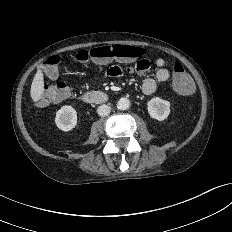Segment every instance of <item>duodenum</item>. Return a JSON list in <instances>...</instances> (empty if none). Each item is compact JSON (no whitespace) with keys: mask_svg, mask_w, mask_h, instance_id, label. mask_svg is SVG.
<instances>
[{"mask_svg":"<svg viewBox=\"0 0 232 232\" xmlns=\"http://www.w3.org/2000/svg\"><path fill=\"white\" fill-rule=\"evenodd\" d=\"M82 99L89 104H101L108 100V96L101 91H89L83 94Z\"/></svg>","mask_w":232,"mask_h":232,"instance_id":"1","label":"duodenum"}]
</instances>
